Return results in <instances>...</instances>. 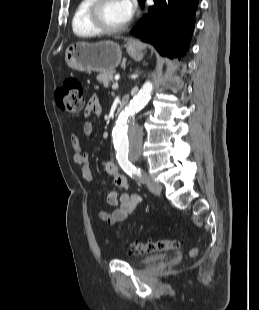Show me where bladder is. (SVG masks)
I'll list each match as a JSON object with an SVG mask.
<instances>
[{
  "label": "bladder",
  "instance_id": "31cf9c89",
  "mask_svg": "<svg viewBox=\"0 0 259 310\" xmlns=\"http://www.w3.org/2000/svg\"><path fill=\"white\" fill-rule=\"evenodd\" d=\"M168 254H156V255H151L148 257H145L143 259H140L136 261V265H146V264H151V263H156L158 261L164 260L167 258Z\"/></svg>",
  "mask_w": 259,
  "mask_h": 310
}]
</instances>
